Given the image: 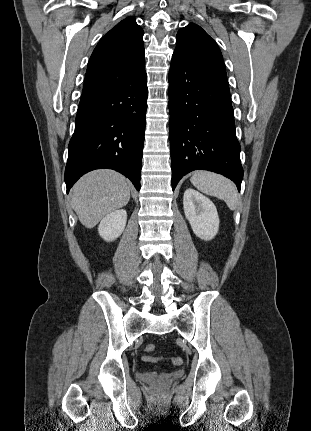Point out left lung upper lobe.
<instances>
[{
  "label": "left lung upper lobe",
  "mask_w": 311,
  "mask_h": 431,
  "mask_svg": "<svg viewBox=\"0 0 311 431\" xmlns=\"http://www.w3.org/2000/svg\"><path fill=\"white\" fill-rule=\"evenodd\" d=\"M174 52L198 64L226 71L218 45L197 24L190 23L178 31Z\"/></svg>",
  "instance_id": "obj_1"
}]
</instances>
